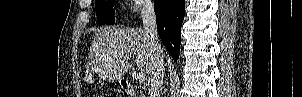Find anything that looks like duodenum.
<instances>
[{"mask_svg": "<svg viewBox=\"0 0 302 97\" xmlns=\"http://www.w3.org/2000/svg\"><path fill=\"white\" fill-rule=\"evenodd\" d=\"M121 85L127 94H129L130 96L135 95V90H134L132 84L128 80L123 79L121 81Z\"/></svg>", "mask_w": 302, "mask_h": 97, "instance_id": "410a0bca", "label": "duodenum"}]
</instances>
